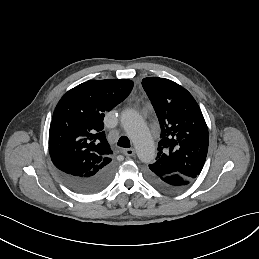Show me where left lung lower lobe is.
Segmentation results:
<instances>
[{
    "instance_id": "left-lung-lower-lobe-1",
    "label": "left lung lower lobe",
    "mask_w": 259,
    "mask_h": 259,
    "mask_svg": "<svg viewBox=\"0 0 259 259\" xmlns=\"http://www.w3.org/2000/svg\"><path fill=\"white\" fill-rule=\"evenodd\" d=\"M148 182L156 189L166 193H177L189 187L193 180L186 179L181 175L157 176L150 171L146 172Z\"/></svg>"
}]
</instances>
